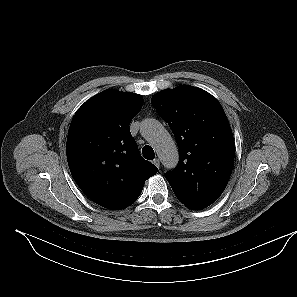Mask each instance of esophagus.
<instances>
[{"mask_svg":"<svg viewBox=\"0 0 297 297\" xmlns=\"http://www.w3.org/2000/svg\"><path fill=\"white\" fill-rule=\"evenodd\" d=\"M153 164H154L157 168H159V167H160V160H159L158 158L154 159V160H153Z\"/></svg>","mask_w":297,"mask_h":297,"instance_id":"obj_1","label":"esophagus"}]
</instances>
